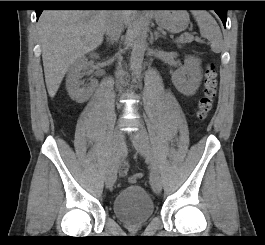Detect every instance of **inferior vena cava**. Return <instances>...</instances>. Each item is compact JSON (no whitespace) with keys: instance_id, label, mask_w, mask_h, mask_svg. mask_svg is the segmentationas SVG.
Masks as SVG:
<instances>
[{"instance_id":"obj_1","label":"inferior vena cava","mask_w":265,"mask_h":245,"mask_svg":"<svg viewBox=\"0 0 265 245\" xmlns=\"http://www.w3.org/2000/svg\"><path fill=\"white\" fill-rule=\"evenodd\" d=\"M124 28V22L121 19L120 15L116 12L112 19L109 21L107 29H106V34L108 36V39L113 40V41H118L119 37L123 31ZM124 75V72L119 65L116 71V77L120 78L122 82V76Z\"/></svg>"}]
</instances>
